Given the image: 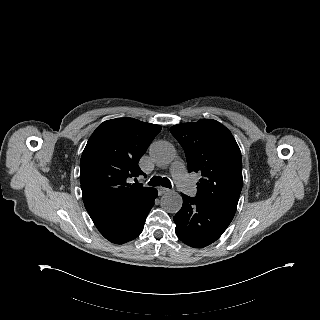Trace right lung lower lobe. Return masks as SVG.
Here are the masks:
<instances>
[{"label": "right lung lower lobe", "mask_w": 320, "mask_h": 320, "mask_svg": "<svg viewBox=\"0 0 320 320\" xmlns=\"http://www.w3.org/2000/svg\"><path fill=\"white\" fill-rule=\"evenodd\" d=\"M157 190L154 188L137 205L116 215L93 221L100 233L110 242L123 244L135 239L143 230L148 213L154 205Z\"/></svg>", "instance_id": "obj_1"}]
</instances>
